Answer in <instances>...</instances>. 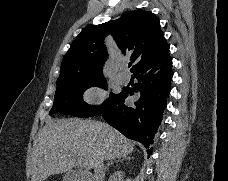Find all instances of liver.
I'll use <instances>...</instances> for the list:
<instances>
[{
    "label": "liver",
    "instance_id": "1",
    "mask_svg": "<svg viewBox=\"0 0 228 181\" xmlns=\"http://www.w3.org/2000/svg\"><path fill=\"white\" fill-rule=\"evenodd\" d=\"M134 147L133 141L100 121H47L34 141L30 179L46 181L51 175L68 173L77 159L91 171L97 159H121L133 153Z\"/></svg>",
    "mask_w": 228,
    "mask_h": 181
}]
</instances>
